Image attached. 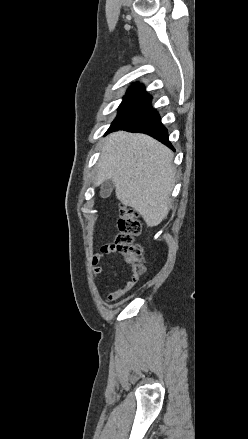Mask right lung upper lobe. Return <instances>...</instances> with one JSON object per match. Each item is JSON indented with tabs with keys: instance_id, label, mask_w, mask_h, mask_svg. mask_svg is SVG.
Instances as JSON below:
<instances>
[{
	"instance_id": "1",
	"label": "right lung upper lobe",
	"mask_w": 248,
	"mask_h": 439,
	"mask_svg": "<svg viewBox=\"0 0 248 439\" xmlns=\"http://www.w3.org/2000/svg\"><path fill=\"white\" fill-rule=\"evenodd\" d=\"M127 95L151 97L143 88V85L133 84L127 91Z\"/></svg>"
}]
</instances>
